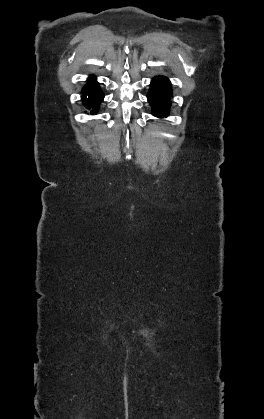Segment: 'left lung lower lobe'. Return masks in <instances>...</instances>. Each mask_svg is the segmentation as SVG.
Wrapping results in <instances>:
<instances>
[{
	"instance_id": "left-lung-lower-lobe-1",
	"label": "left lung lower lobe",
	"mask_w": 264,
	"mask_h": 419,
	"mask_svg": "<svg viewBox=\"0 0 264 419\" xmlns=\"http://www.w3.org/2000/svg\"><path fill=\"white\" fill-rule=\"evenodd\" d=\"M171 84L166 77H154L147 94L148 102L151 104L154 116H167L170 107Z\"/></svg>"
}]
</instances>
